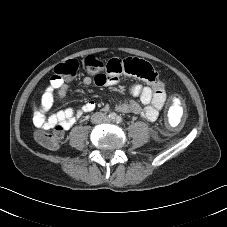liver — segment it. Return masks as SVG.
<instances>
[{
	"label": "liver",
	"mask_w": 227,
	"mask_h": 227,
	"mask_svg": "<svg viewBox=\"0 0 227 227\" xmlns=\"http://www.w3.org/2000/svg\"><path fill=\"white\" fill-rule=\"evenodd\" d=\"M34 110L36 111V106H34Z\"/></svg>",
	"instance_id": "liver-1"
}]
</instances>
